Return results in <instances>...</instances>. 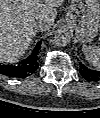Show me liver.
Segmentation results:
<instances>
[{
    "label": "liver",
    "instance_id": "6515ba94",
    "mask_svg": "<svg viewBox=\"0 0 100 118\" xmlns=\"http://www.w3.org/2000/svg\"><path fill=\"white\" fill-rule=\"evenodd\" d=\"M64 1L0 0V61L20 59L35 36L33 25L43 22L50 29L57 16L56 7Z\"/></svg>",
    "mask_w": 100,
    "mask_h": 118
}]
</instances>
